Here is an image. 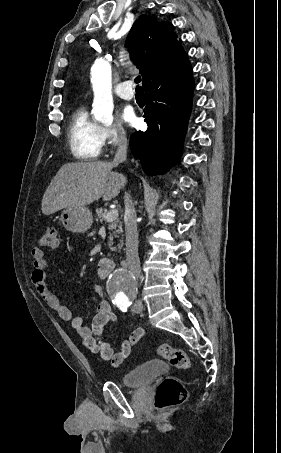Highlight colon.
<instances>
[{
	"mask_svg": "<svg viewBox=\"0 0 281 453\" xmlns=\"http://www.w3.org/2000/svg\"><path fill=\"white\" fill-rule=\"evenodd\" d=\"M59 230L58 226H46L44 228V232L38 240V245H41L42 250L54 249L56 247ZM156 351L163 360L169 362L172 366L187 373L192 372L193 367L185 351L175 349L171 346H161ZM187 399L188 392L179 378L174 374H170L165 376L157 385L154 406L158 411H166L185 402Z\"/></svg>",
	"mask_w": 281,
	"mask_h": 453,
	"instance_id": "1",
	"label": "colon"
}]
</instances>
